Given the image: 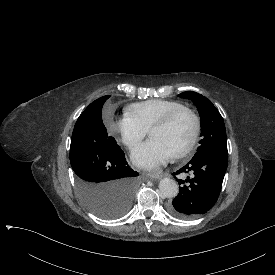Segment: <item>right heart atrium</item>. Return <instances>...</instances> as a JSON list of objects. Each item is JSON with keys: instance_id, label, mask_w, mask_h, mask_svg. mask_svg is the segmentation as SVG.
Wrapping results in <instances>:
<instances>
[{"instance_id": "d8ad5b80", "label": "right heart atrium", "mask_w": 275, "mask_h": 275, "mask_svg": "<svg viewBox=\"0 0 275 275\" xmlns=\"http://www.w3.org/2000/svg\"><path fill=\"white\" fill-rule=\"evenodd\" d=\"M112 132L129 152L136 151L147 135V130L129 115L115 120Z\"/></svg>"}]
</instances>
